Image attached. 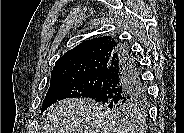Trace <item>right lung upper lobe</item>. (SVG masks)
<instances>
[{"instance_id":"1","label":"right lung upper lobe","mask_w":184,"mask_h":133,"mask_svg":"<svg viewBox=\"0 0 184 133\" xmlns=\"http://www.w3.org/2000/svg\"><path fill=\"white\" fill-rule=\"evenodd\" d=\"M118 42L111 36L85 40L67 51L55 63L51 80L104 73Z\"/></svg>"}]
</instances>
